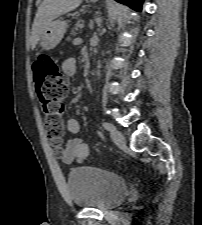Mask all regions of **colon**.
<instances>
[{
	"label": "colon",
	"instance_id": "colon-1",
	"mask_svg": "<svg viewBox=\"0 0 202 225\" xmlns=\"http://www.w3.org/2000/svg\"><path fill=\"white\" fill-rule=\"evenodd\" d=\"M32 70L50 144L61 149L66 135L62 119L63 101L68 93L69 83L58 62L50 57L36 59Z\"/></svg>",
	"mask_w": 202,
	"mask_h": 225
}]
</instances>
